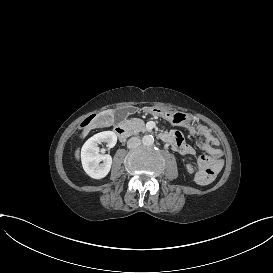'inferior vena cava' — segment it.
Instances as JSON below:
<instances>
[{
  "label": "inferior vena cava",
  "instance_id": "602c4592",
  "mask_svg": "<svg viewBox=\"0 0 273 273\" xmlns=\"http://www.w3.org/2000/svg\"><path fill=\"white\" fill-rule=\"evenodd\" d=\"M141 144L139 137L133 136L127 141L128 148H136Z\"/></svg>",
  "mask_w": 273,
  "mask_h": 273
}]
</instances>
